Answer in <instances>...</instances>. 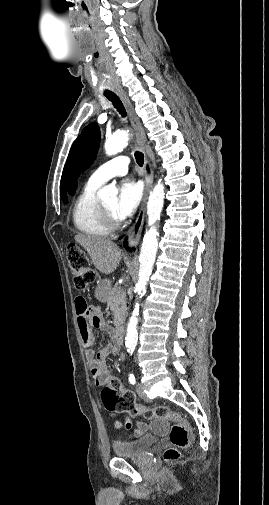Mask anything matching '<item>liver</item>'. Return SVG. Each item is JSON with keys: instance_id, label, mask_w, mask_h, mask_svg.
<instances>
[{"instance_id": "6515ba94", "label": "liver", "mask_w": 269, "mask_h": 505, "mask_svg": "<svg viewBox=\"0 0 269 505\" xmlns=\"http://www.w3.org/2000/svg\"><path fill=\"white\" fill-rule=\"evenodd\" d=\"M75 241L87 251L92 263L101 273L109 275L116 270L122 255L114 242L84 234H77Z\"/></svg>"}]
</instances>
